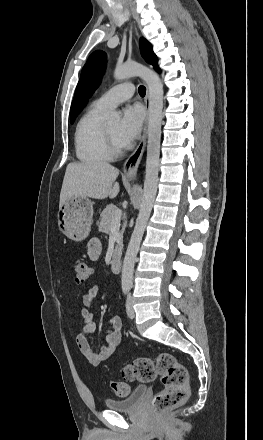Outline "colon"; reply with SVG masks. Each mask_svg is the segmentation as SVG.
Returning a JSON list of instances; mask_svg holds the SVG:
<instances>
[{
    "label": "colon",
    "instance_id": "1",
    "mask_svg": "<svg viewBox=\"0 0 263 440\" xmlns=\"http://www.w3.org/2000/svg\"><path fill=\"white\" fill-rule=\"evenodd\" d=\"M68 268L77 284H84L90 277L91 269L83 262L69 263ZM121 374L129 381L141 383L152 382L158 375L161 376L164 389L156 393L150 402L154 414H162L176 408L188 398L187 368L177 362L170 352H160L153 358H137L126 364ZM110 387L119 396H127L130 392L126 383L112 381Z\"/></svg>",
    "mask_w": 263,
    "mask_h": 440
}]
</instances>
